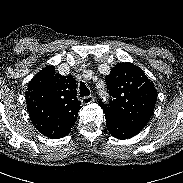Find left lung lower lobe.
Listing matches in <instances>:
<instances>
[{
    "instance_id": "1",
    "label": "left lung lower lobe",
    "mask_w": 183,
    "mask_h": 183,
    "mask_svg": "<svg viewBox=\"0 0 183 183\" xmlns=\"http://www.w3.org/2000/svg\"><path fill=\"white\" fill-rule=\"evenodd\" d=\"M106 126L115 138L121 140L135 136L144 128L139 125H129L110 118H106Z\"/></svg>"
}]
</instances>
